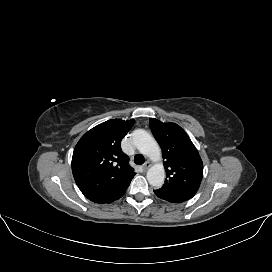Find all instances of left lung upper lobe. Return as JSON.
Returning a JSON list of instances; mask_svg holds the SVG:
<instances>
[{
	"mask_svg": "<svg viewBox=\"0 0 272 272\" xmlns=\"http://www.w3.org/2000/svg\"><path fill=\"white\" fill-rule=\"evenodd\" d=\"M149 124L165 159L167 179L160 190L193 197L203 177V163L194 144L175 123L151 118Z\"/></svg>",
	"mask_w": 272,
	"mask_h": 272,
	"instance_id": "5c2ea615",
	"label": "left lung upper lobe"
}]
</instances>
